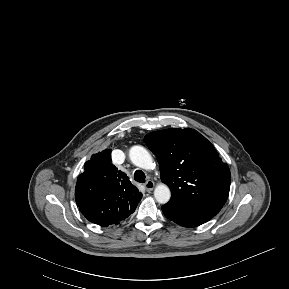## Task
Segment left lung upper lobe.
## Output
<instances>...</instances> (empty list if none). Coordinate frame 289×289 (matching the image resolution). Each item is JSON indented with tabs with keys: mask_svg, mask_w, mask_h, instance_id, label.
Masks as SVG:
<instances>
[{
	"mask_svg": "<svg viewBox=\"0 0 289 289\" xmlns=\"http://www.w3.org/2000/svg\"><path fill=\"white\" fill-rule=\"evenodd\" d=\"M144 141L158 160L170 201L215 215L221 210L229 195L230 170L204 136L190 128H173L152 132Z\"/></svg>",
	"mask_w": 289,
	"mask_h": 289,
	"instance_id": "left-lung-upper-lobe-1",
	"label": "left lung upper lobe"
}]
</instances>
